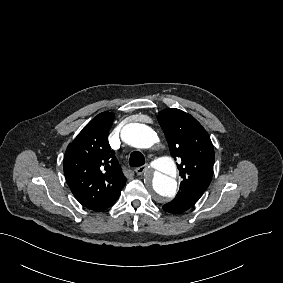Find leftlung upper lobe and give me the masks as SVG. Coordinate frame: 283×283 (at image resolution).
Listing matches in <instances>:
<instances>
[{"instance_id":"obj_1","label":"left lung upper lobe","mask_w":283,"mask_h":283,"mask_svg":"<svg viewBox=\"0 0 283 283\" xmlns=\"http://www.w3.org/2000/svg\"><path fill=\"white\" fill-rule=\"evenodd\" d=\"M158 121L167 139L172 157L182 177L179 192L169 203L194 205L208 188L215 160L213 144L206 130L191 115L179 109H165Z\"/></svg>"}]
</instances>
